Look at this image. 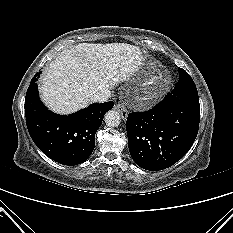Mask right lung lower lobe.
<instances>
[{
    "mask_svg": "<svg viewBox=\"0 0 233 233\" xmlns=\"http://www.w3.org/2000/svg\"><path fill=\"white\" fill-rule=\"evenodd\" d=\"M32 78L25 97V116L29 134L37 147L52 160L77 165L89 158L95 146V133L114 102L95 103L68 116L48 110L41 102L37 80Z\"/></svg>",
    "mask_w": 233,
    "mask_h": 233,
    "instance_id": "1",
    "label": "right lung lower lobe"
}]
</instances>
